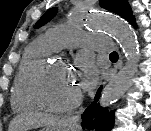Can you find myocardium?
I'll return each instance as SVG.
<instances>
[{
  "label": "myocardium",
  "mask_w": 151,
  "mask_h": 131,
  "mask_svg": "<svg viewBox=\"0 0 151 131\" xmlns=\"http://www.w3.org/2000/svg\"><path fill=\"white\" fill-rule=\"evenodd\" d=\"M54 62L45 61L35 74L31 83V95L38 107L55 113L70 111L76 108L81 100L82 94L78 92L73 98L63 103H53L48 100L44 93V83L48 75L51 73Z\"/></svg>",
  "instance_id": "myocardium-1"
}]
</instances>
